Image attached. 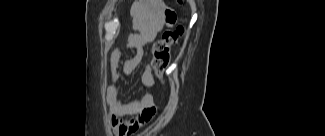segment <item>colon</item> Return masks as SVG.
I'll list each match as a JSON object with an SVG mask.
<instances>
[{
    "mask_svg": "<svg viewBox=\"0 0 325 136\" xmlns=\"http://www.w3.org/2000/svg\"><path fill=\"white\" fill-rule=\"evenodd\" d=\"M165 16L169 28L154 43L151 61L156 76L161 80H163L164 73L170 62L171 48L179 43L184 34V27L177 25V15L174 11H166Z\"/></svg>",
    "mask_w": 325,
    "mask_h": 136,
    "instance_id": "1",
    "label": "colon"
}]
</instances>
